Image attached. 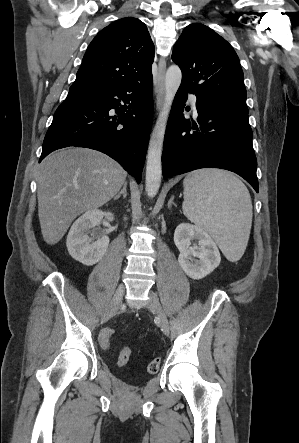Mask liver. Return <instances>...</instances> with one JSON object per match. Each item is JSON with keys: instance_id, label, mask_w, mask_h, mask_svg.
I'll return each mask as SVG.
<instances>
[{"instance_id": "liver-1", "label": "liver", "mask_w": 299, "mask_h": 443, "mask_svg": "<svg viewBox=\"0 0 299 443\" xmlns=\"http://www.w3.org/2000/svg\"><path fill=\"white\" fill-rule=\"evenodd\" d=\"M126 171L105 154L87 148L58 150L37 171L38 216L47 244L58 243L81 213L110 201Z\"/></svg>"}]
</instances>
